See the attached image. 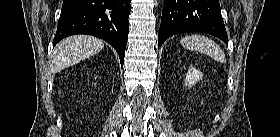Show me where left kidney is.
Listing matches in <instances>:
<instances>
[{
  "mask_svg": "<svg viewBox=\"0 0 280 137\" xmlns=\"http://www.w3.org/2000/svg\"><path fill=\"white\" fill-rule=\"evenodd\" d=\"M203 75L196 68H189L188 73L186 74L185 85L192 86L197 81L201 80Z\"/></svg>",
  "mask_w": 280,
  "mask_h": 137,
  "instance_id": "1",
  "label": "left kidney"
}]
</instances>
